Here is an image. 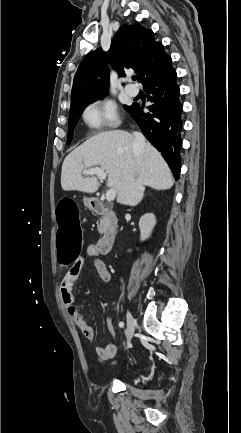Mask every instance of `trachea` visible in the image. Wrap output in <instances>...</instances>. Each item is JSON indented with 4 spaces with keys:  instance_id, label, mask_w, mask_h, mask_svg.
<instances>
[{
    "instance_id": "trachea-1",
    "label": "trachea",
    "mask_w": 241,
    "mask_h": 433,
    "mask_svg": "<svg viewBox=\"0 0 241 433\" xmlns=\"http://www.w3.org/2000/svg\"><path fill=\"white\" fill-rule=\"evenodd\" d=\"M133 80H137V76H133Z\"/></svg>"
}]
</instances>
